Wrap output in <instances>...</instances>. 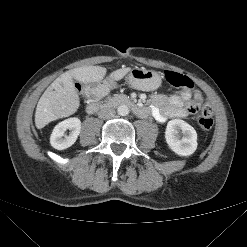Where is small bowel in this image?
<instances>
[{
  "label": "small bowel",
  "mask_w": 247,
  "mask_h": 247,
  "mask_svg": "<svg viewBox=\"0 0 247 247\" xmlns=\"http://www.w3.org/2000/svg\"><path fill=\"white\" fill-rule=\"evenodd\" d=\"M192 96L197 100L201 99L199 92L192 93L187 90L170 96L155 94L152 97L153 104L146 112L160 123H164L170 118H184L188 114L184 105Z\"/></svg>",
  "instance_id": "small-bowel-1"
}]
</instances>
